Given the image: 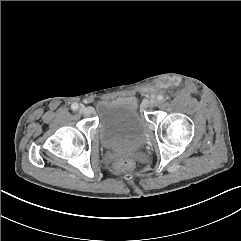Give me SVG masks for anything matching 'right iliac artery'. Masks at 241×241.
Returning <instances> with one entry per match:
<instances>
[{
    "instance_id": "right-iliac-artery-1",
    "label": "right iliac artery",
    "mask_w": 241,
    "mask_h": 241,
    "mask_svg": "<svg viewBox=\"0 0 241 241\" xmlns=\"http://www.w3.org/2000/svg\"><path fill=\"white\" fill-rule=\"evenodd\" d=\"M71 109L74 110V111L77 110L78 109V104H76V103L72 104L71 105Z\"/></svg>"
}]
</instances>
